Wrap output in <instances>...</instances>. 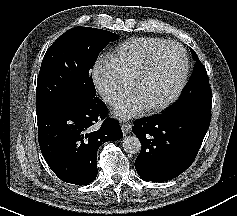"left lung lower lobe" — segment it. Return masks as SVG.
I'll return each mask as SVG.
<instances>
[{"instance_id": "obj_1", "label": "left lung lower lobe", "mask_w": 237, "mask_h": 216, "mask_svg": "<svg viewBox=\"0 0 237 216\" xmlns=\"http://www.w3.org/2000/svg\"><path fill=\"white\" fill-rule=\"evenodd\" d=\"M209 123L163 113L136 120L133 132L141 142L135 161L139 176L146 181L164 182L184 172L195 160Z\"/></svg>"}]
</instances>
